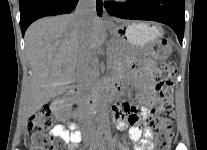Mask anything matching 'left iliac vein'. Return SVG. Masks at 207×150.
Returning <instances> with one entry per match:
<instances>
[{
	"mask_svg": "<svg viewBox=\"0 0 207 150\" xmlns=\"http://www.w3.org/2000/svg\"><path fill=\"white\" fill-rule=\"evenodd\" d=\"M91 147H93V150H96V147H98V150H116L113 143H110L109 147H107L105 143L100 140L96 141V143H93Z\"/></svg>",
	"mask_w": 207,
	"mask_h": 150,
	"instance_id": "left-iliac-vein-1",
	"label": "left iliac vein"
}]
</instances>
